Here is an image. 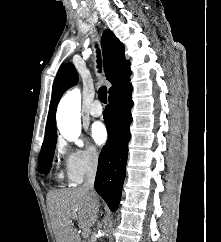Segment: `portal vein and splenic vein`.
<instances>
[{
  "label": "portal vein and splenic vein",
  "mask_w": 221,
  "mask_h": 242,
  "mask_svg": "<svg viewBox=\"0 0 221 242\" xmlns=\"http://www.w3.org/2000/svg\"><path fill=\"white\" fill-rule=\"evenodd\" d=\"M90 234V230L89 229H86L83 231V237H88Z\"/></svg>",
  "instance_id": "portal-vein-and-splenic-vein-1"
}]
</instances>
